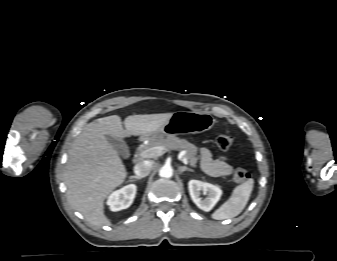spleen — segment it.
I'll return each instance as SVG.
<instances>
[{
    "instance_id": "1",
    "label": "spleen",
    "mask_w": 337,
    "mask_h": 261,
    "mask_svg": "<svg viewBox=\"0 0 337 261\" xmlns=\"http://www.w3.org/2000/svg\"><path fill=\"white\" fill-rule=\"evenodd\" d=\"M253 186L254 180L252 178L236 186L230 198L212 214V218L223 220L239 215L249 201Z\"/></svg>"
}]
</instances>
